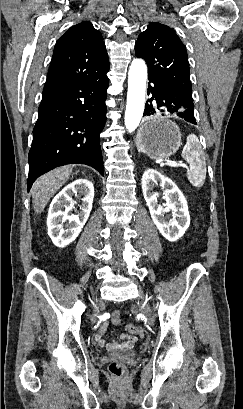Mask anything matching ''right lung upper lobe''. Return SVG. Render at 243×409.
I'll return each mask as SVG.
<instances>
[{
    "mask_svg": "<svg viewBox=\"0 0 243 409\" xmlns=\"http://www.w3.org/2000/svg\"><path fill=\"white\" fill-rule=\"evenodd\" d=\"M108 69V54L101 33L92 23L83 21L69 28L57 41L46 85L87 81Z\"/></svg>",
    "mask_w": 243,
    "mask_h": 409,
    "instance_id": "obj_1",
    "label": "right lung upper lobe"
}]
</instances>
